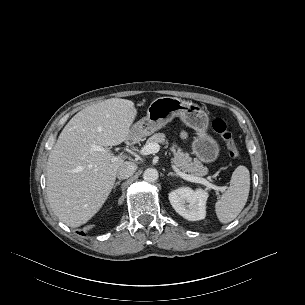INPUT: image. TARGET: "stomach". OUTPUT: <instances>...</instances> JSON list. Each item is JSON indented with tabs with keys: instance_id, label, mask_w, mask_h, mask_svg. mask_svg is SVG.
Instances as JSON below:
<instances>
[{
	"instance_id": "stomach-1",
	"label": "stomach",
	"mask_w": 305,
	"mask_h": 305,
	"mask_svg": "<svg viewBox=\"0 0 305 305\" xmlns=\"http://www.w3.org/2000/svg\"><path fill=\"white\" fill-rule=\"evenodd\" d=\"M174 117H179L188 127L196 131L192 142V151L199 160L209 163L219 156L217 141L207 134L209 118L197 104L177 97H159L151 102L147 115L137 121L131 131L137 136H148L161 129Z\"/></svg>"
}]
</instances>
